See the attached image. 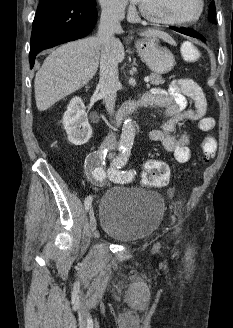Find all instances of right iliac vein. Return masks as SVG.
Instances as JSON below:
<instances>
[{"label": "right iliac vein", "instance_id": "right-iliac-vein-1", "mask_svg": "<svg viewBox=\"0 0 233 328\" xmlns=\"http://www.w3.org/2000/svg\"><path fill=\"white\" fill-rule=\"evenodd\" d=\"M89 217H90V227H91V231H92V232H95V230H96V226H97V223H96V218H95L94 211H93L92 208L90 209Z\"/></svg>", "mask_w": 233, "mask_h": 328}]
</instances>
